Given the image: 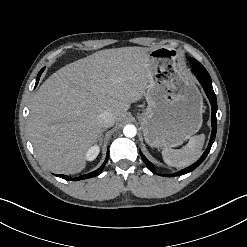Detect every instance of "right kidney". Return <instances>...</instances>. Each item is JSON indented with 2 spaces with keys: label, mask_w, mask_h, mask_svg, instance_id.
Listing matches in <instances>:
<instances>
[{
  "label": "right kidney",
  "mask_w": 247,
  "mask_h": 247,
  "mask_svg": "<svg viewBox=\"0 0 247 247\" xmlns=\"http://www.w3.org/2000/svg\"><path fill=\"white\" fill-rule=\"evenodd\" d=\"M100 147L98 145H94L87 151L85 158L87 161H93L99 154Z\"/></svg>",
  "instance_id": "1"
}]
</instances>
